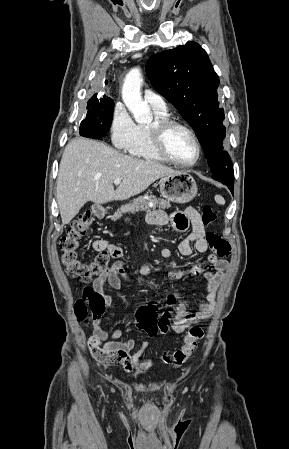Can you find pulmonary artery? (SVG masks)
<instances>
[{
    "label": "pulmonary artery",
    "mask_w": 289,
    "mask_h": 449,
    "mask_svg": "<svg viewBox=\"0 0 289 449\" xmlns=\"http://www.w3.org/2000/svg\"><path fill=\"white\" fill-rule=\"evenodd\" d=\"M144 99L155 110L164 111L167 109L164 99L150 89L144 91Z\"/></svg>",
    "instance_id": "pulmonary-artery-1"
}]
</instances>
